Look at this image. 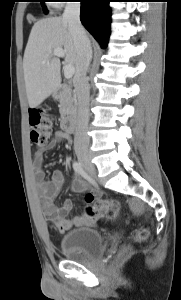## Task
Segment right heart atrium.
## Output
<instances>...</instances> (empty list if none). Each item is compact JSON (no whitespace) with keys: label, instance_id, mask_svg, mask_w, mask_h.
Masks as SVG:
<instances>
[{"label":"right heart atrium","instance_id":"obj_1","mask_svg":"<svg viewBox=\"0 0 181 300\" xmlns=\"http://www.w3.org/2000/svg\"><path fill=\"white\" fill-rule=\"evenodd\" d=\"M61 0H55V3L53 4L55 7H59L61 5Z\"/></svg>","mask_w":181,"mask_h":300}]
</instances>
